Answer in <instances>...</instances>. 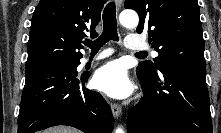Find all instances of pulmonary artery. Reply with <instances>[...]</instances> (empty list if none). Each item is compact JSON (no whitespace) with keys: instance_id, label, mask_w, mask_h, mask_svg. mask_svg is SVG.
<instances>
[{"instance_id":"e3ab8cb5","label":"pulmonary artery","mask_w":221,"mask_h":133,"mask_svg":"<svg viewBox=\"0 0 221 133\" xmlns=\"http://www.w3.org/2000/svg\"><path fill=\"white\" fill-rule=\"evenodd\" d=\"M125 46L127 49L131 51H141L148 49V45L140 39L137 35H128ZM112 54L111 50H103L96 54L94 57L85 56L80 63V67L85 66L88 63H93L96 61H99L101 59H104ZM152 55L155 57L157 56V52L152 51Z\"/></svg>"}]
</instances>
